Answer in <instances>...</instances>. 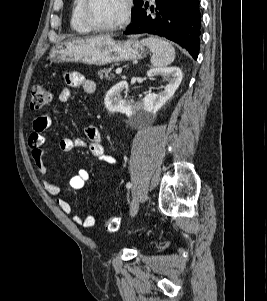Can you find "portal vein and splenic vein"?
Instances as JSON below:
<instances>
[{
  "label": "portal vein and splenic vein",
  "instance_id": "obj_1",
  "mask_svg": "<svg viewBox=\"0 0 267 301\" xmlns=\"http://www.w3.org/2000/svg\"><path fill=\"white\" fill-rule=\"evenodd\" d=\"M115 73H116V74H121V73H122V68H117V69L115 70Z\"/></svg>",
  "mask_w": 267,
  "mask_h": 301
}]
</instances>
